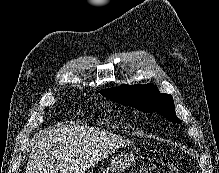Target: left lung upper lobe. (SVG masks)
<instances>
[{
    "mask_svg": "<svg viewBox=\"0 0 219 173\" xmlns=\"http://www.w3.org/2000/svg\"><path fill=\"white\" fill-rule=\"evenodd\" d=\"M100 93L123 105L135 107L145 112H157L168 121L174 123L180 122L175 113L172 96L160 93L156 85L129 86L123 84L116 88L102 89Z\"/></svg>",
    "mask_w": 219,
    "mask_h": 173,
    "instance_id": "5c2ea615",
    "label": "left lung upper lobe"
}]
</instances>
